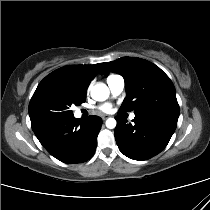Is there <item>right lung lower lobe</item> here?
I'll return each mask as SVG.
<instances>
[{
    "mask_svg": "<svg viewBox=\"0 0 210 210\" xmlns=\"http://www.w3.org/2000/svg\"><path fill=\"white\" fill-rule=\"evenodd\" d=\"M102 119L73 115L43 124L33 131L42 146L61 162L74 164L89 160L95 153Z\"/></svg>",
    "mask_w": 210,
    "mask_h": 210,
    "instance_id": "98d812e1",
    "label": "right lung lower lobe"
}]
</instances>
